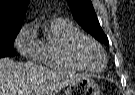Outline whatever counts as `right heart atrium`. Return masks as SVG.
Here are the masks:
<instances>
[{
	"mask_svg": "<svg viewBox=\"0 0 135 95\" xmlns=\"http://www.w3.org/2000/svg\"><path fill=\"white\" fill-rule=\"evenodd\" d=\"M18 52L26 59L39 62L40 41L36 38L31 24L25 25L15 38Z\"/></svg>",
	"mask_w": 135,
	"mask_h": 95,
	"instance_id": "obj_1",
	"label": "right heart atrium"
}]
</instances>
